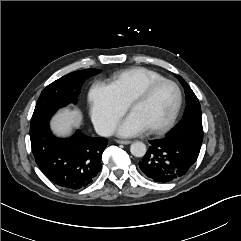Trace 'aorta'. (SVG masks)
<instances>
[{
	"mask_svg": "<svg viewBox=\"0 0 241 241\" xmlns=\"http://www.w3.org/2000/svg\"><path fill=\"white\" fill-rule=\"evenodd\" d=\"M146 151V145L140 141L134 142L130 146V152L135 157H143L146 154Z\"/></svg>",
	"mask_w": 241,
	"mask_h": 241,
	"instance_id": "762f6f07",
	"label": "aorta"
}]
</instances>
